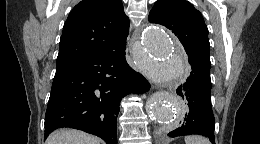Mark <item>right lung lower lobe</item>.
Returning <instances> with one entry per match:
<instances>
[{
  "label": "right lung lower lobe",
  "mask_w": 260,
  "mask_h": 144,
  "mask_svg": "<svg viewBox=\"0 0 260 144\" xmlns=\"http://www.w3.org/2000/svg\"><path fill=\"white\" fill-rule=\"evenodd\" d=\"M125 48L56 67L45 115V139L57 128L70 127L117 144L121 99L150 88L128 65Z\"/></svg>",
  "instance_id": "right-lung-lower-lobe-1"
}]
</instances>
